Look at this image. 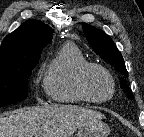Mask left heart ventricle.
Listing matches in <instances>:
<instances>
[{
    "instance_id": "obj_1",
    "label": "left heart ventricle",
    "mask_w": 144,
    "mask_h": 137,
    "mask_svg": "<svg viewBox=\"0 0 144 137\" xmlns=\"http://www.w3.org/2000/svg\"><path fill=\"white\" fill-rule=\"evenodd\" d=\"M89 93L95 98H104L111 93V83L108 78L98 70H91L86 78Z\"/></svg>"
}]
</instances>
